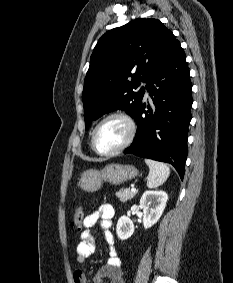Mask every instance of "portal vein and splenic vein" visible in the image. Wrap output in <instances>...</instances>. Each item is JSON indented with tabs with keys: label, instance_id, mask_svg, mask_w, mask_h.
<instances>
[{
	"label": "portal vein and splenic vein",
	"instance_id": "portal-vein-and-splenic-vein-1",
	"mask_svg": "<svg viewBox=\"0 0 233 283\" xmlns=\"http://www.w3.org/2000/svg\"><path fill=\"white\" fill-rule=\"evenodd\" d=\"M131 191H132V192H137L136 188H134V187L131 188Z\"/></svg>",
	"mask_w": 233,
	"mask_h": 283
}]
</instances>
